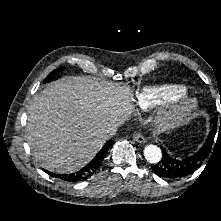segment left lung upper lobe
<instances>
[{
  "mask_svg": "<svg viewBox=\"0 0 221 221\" xmlns=\"http://www.w3.org/2000/svg\"><path fill=\"white\" fill-rule=\"evenodd\" d=\"M217 121H218V117L217 115L214 117V121H213V128H212V132L209 134V137L206 141V145H210L209 149H211V146L213 144V140L216 134V127H217ZM220 127H221V117H220ZM204 148V147H203ZM209 154V153H208ZM208 156V155H207Z\"/></svg>",
  "mask_w": 221,
  "mask_h": 221,
  "instance_id": "5c2ea615",
  "label": "left lung upper lobe"
}]
</instances>
